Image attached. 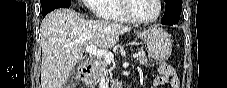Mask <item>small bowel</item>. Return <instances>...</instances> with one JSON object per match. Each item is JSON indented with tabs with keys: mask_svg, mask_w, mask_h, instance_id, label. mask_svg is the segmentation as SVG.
<instances>
[{
	"mask_svg": "<svg viewBox=\"0 0 227 88\" xmlns=\"http://www.w3.org/2000/svg\"><path fill=\"white\" fill-rule=\"evenodd\" d=\"M160 75L153 80L152 87H161L169 78H171V86L179 87V80L175 76L174 71L167 65H162L159 68Z\"/></svg>",
	"mask_w": 227,
	"mask_h": 88,
	"instance_id": "1",
	"label": "small bowel"
}]
</instances>
